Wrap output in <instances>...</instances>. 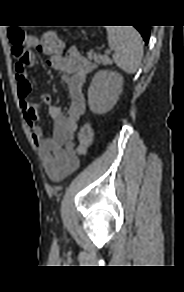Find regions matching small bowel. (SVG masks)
<instances>
[{
    "mask_svg": "<svg viewBox=\"0 0 184 292\" xmlns=\"http://www.w3.org/2000/svg\"><path fill=\"white\" fill-rule=\"evenodd\" d=\"M35 38H30L29 46L36 47ZM34 56L28 52L26 61L17 60L14 68L18 86L20 107L31 136L42 154L43 166L53 181H59L79 167V159L74 151V136L77 123L85 110L83 86L88 75L95 69V64L82 57L75 47H71L65 55H53L46 60V65L62 72V80L66 83L69 103L65 111L60 106L51 104L48 93L40 96V101L48 106V114L54 122L51 136L45 135L39 120L38 105L29 100L31 85L27 68L34 65Z\"/></svg>",
    "mask_w": 184,
    "mask_h": 292,
    "instance_id": "c3829d8e",
    "label": "small bowel"
}]
</instances>
